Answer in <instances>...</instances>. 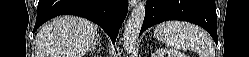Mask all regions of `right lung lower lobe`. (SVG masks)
Listing matches in <instances>:
<instances>
[{
	"mask_svg": "<svg viewBox=\"0 0 249 57\" xmlns=\"http://www.w3.org/2000/svg\"><path fill=\"white\" fill-rule=\"evenodd\" d=\"M127 11V0H39L33 31L53 17L71 14L98 24L115 43Z\"/></svg>",
	"mask_w": 249,
	"mask_h": 57,
	"instance_id": "right-lung-lower-lobe-1",
	"label": "right lung lower lobe"
}]
</instances>
